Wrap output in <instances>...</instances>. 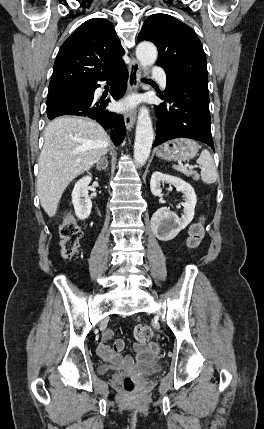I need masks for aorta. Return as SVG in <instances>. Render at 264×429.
<instances>
[{"instance_id":"obj_1","label":"aorta","mask_w":264,"mask_h":429,"mask_svg":"<svg viewBox=\"0 0 264 429\" xmlns=\"http://www.w3.org/2000/svg\"><path fill=\"white\" fill-rule=\"evenodd\" d=\"M136 57L143 69L153 65L157 59V49L151 42L143 41L137 45ZM154 132L149 110L142 107L138 114L134 144V159L138 166H143L149 158Z\"/></svg>"}]
</instances>
